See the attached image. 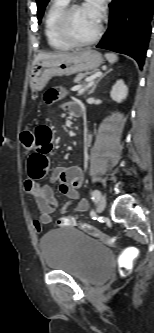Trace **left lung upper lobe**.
<instances>
[{
  "instance_id": "left-lung-upper-lobe-1",
  "label": "left lung upper lobe",
  "mask_w": 154,
  "mask_h": 333,
  "mask_svg": "<svg viewBox=\"0 0 154 333\" xmlns=\"http://www.w3.org/2000/svg\"><path fill=\"white\" fill-rule=\"evenodd\" d=\"M49 2V0H37V7H38V11H37V16H38V23L41 22V18L42 15L44 13V9L47 5V3Z\"/></svg>"
}]
</instances>
